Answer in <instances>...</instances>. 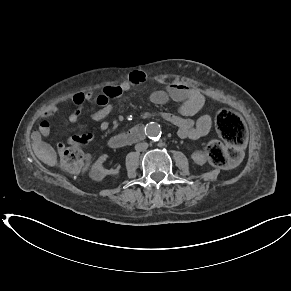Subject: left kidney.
<instances>
[{
	"mask_svg": "<svg viewBox=\"0 0 291 291\" xmlns=\"http://www.w3.org/2000/svg\"><path fill=\"white\" fill-rule=\"evenodd\" d=\"M191 157L193 161L198 165H203L207 161L205 154L202 153L201 151L194 152Z\"/></svg>",
	"mask_w": 291,
	"mask_h": 291,
	"instance_id": "5707ae66",
	"label": "left kidney"
}]
</instances>
